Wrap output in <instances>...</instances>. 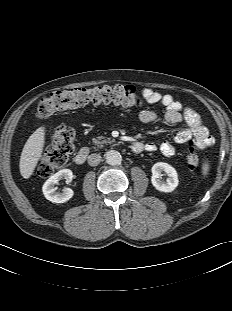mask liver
<instances>
[{
    "label": "liver",
    "instance_id": "obj_1",
    "mask_svg": "<svg viewBox=\"0 0 232 311\" xmlns=\"http://www.w3.org/2000/svg\"><path fill=\"white\" fill-rule=\"evenodd\" d=\"M45 144V127H39L26 141L19 162L20 174L28 179L40 160Z\"/></svg>",
    "mask_w": 232,
    "mask_h": 311
}]
</instances>
